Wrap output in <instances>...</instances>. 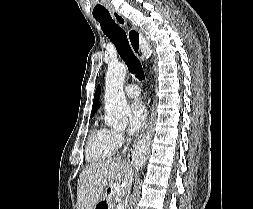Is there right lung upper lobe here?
Wrapping results in <instances>:
<instances>
[{"instance_id":"obj_1","label":"right lung upper lobe","mask_w":253,"mask_h":209,"mask_svg":"<svg viewBox=\"0 0 253 209\" xmlns=\"http://www.w3.org/2000/svg\"><path fill=\"white\" fill-rule=\"evenodd\" d=\"M100 92H101L100 85H98V87L96 89V92H95V95H94V100H93L92 116H94V114H95V107L98 103V100H99V97H100Z\"/></svg>"}]
</instances>
